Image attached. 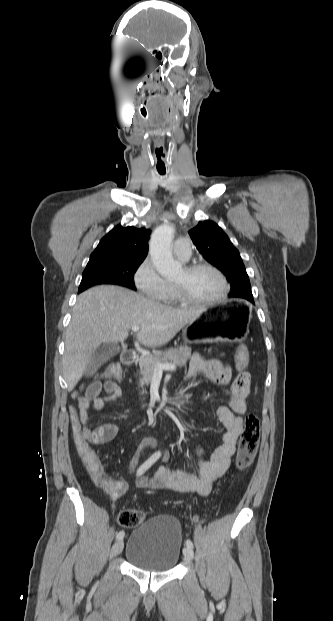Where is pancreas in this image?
<instances>
[{"label": "pancreas", "instance_id": "pancreas-1", "mask_svg": "<svg viewBox=\"0 0 333 621\" xmlns=\"http://www.w3.org/2000/svg\"><path fill=\"white\" fill-rule=\"evenodd\" d=\"M191 357V348L188 346H180L171 348L165 352H155L153 355L143 356L139 359L140 374L142 378L139 385L143 388L144 384H149L155 373L157 364H167L172 362L179 366H184Z\"/></svg>", "mask_w": 333, "mask_h": 621}]
</instances>
